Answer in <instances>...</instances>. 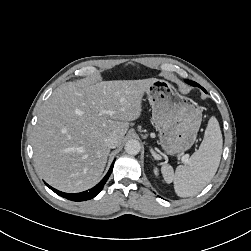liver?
Here are the masks:
<instances>
[{"label":"liver","mask_w":251,"mask_h":251,"mask_svg":"<svg viewBox=\"0 0 251 251\" xmlns=\"http://www.w3.org/2000/svg\"><path fill=\"white\" fill-rule=\"evenodd\" d=\"M156 78L77 81L59 86L42 105L34 127L35 166L54 188L77 193L93 187L106 166L109 135L124 139L142 112V98ZM109 112V113H106Z\"/></svg>","instance_id":"obj_1"}]
</instances>
